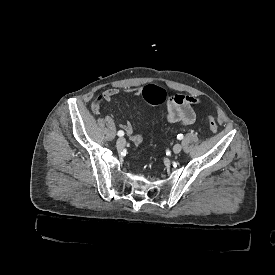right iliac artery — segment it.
Segmentation results:
<instances>
[{"mask_svg":"<svg viewBox=\"0 0 275 275\" xmlns=\"http://www.w3.org/2000/svg\"><path fill=\"white\" fill-rule=\"evenodd\" d=\"M117 135H118L119 137H122V136H124V132H123V131H118Z\"/></svg>","mask_w":275,"mask_h":275,"instance_id":"82829eb1","label":"right iliac artery"}]
</instances>
